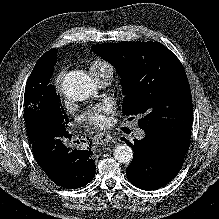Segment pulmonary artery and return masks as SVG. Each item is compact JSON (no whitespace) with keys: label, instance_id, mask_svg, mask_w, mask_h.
Returning <instances> with one entry per match:
<instances>
[{"label":"pulmonary artery","instance_id":"obj_1","mask_svg":"<svg viewBox=\"0 0 219 219\" xmlns=\"http://www.w3.org/2000/svg\"><path fill=\"white\" fill-rule=\"evenodd\" d=\"M96 84L100 87H105L107 86L112 78V73L111 72H104L99 75L93 76ZM136 137L137 138H142L143 137V132L141 130H138L136 132Z\"/></svg>","mask_w":219,"mask_h":219}]
</instances>
